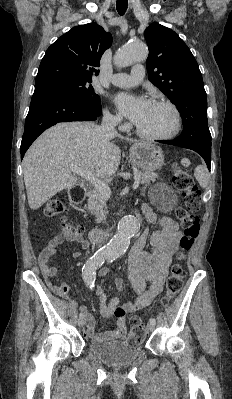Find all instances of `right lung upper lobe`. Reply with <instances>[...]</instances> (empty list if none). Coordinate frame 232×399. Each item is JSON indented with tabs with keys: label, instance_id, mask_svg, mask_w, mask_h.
I'll list each match as a JSON object with an SVG mask.
<instances>
[{
	"label": "right lung upper lobe",
	"instance_id": "1",
	"mask_svg": "<svg viewBox=\"0 0 232 399\" xmlns=\"http://www.w3.org/2000/svg\"><path fill=\"white\" fill-rule=\"evenodd\" d=\"M111 43V34L94 22L73 27L47 49L36 84L59 77L92 81V76L99 74L96 68Z\"/></svg>",
	"mask_w": 232,
	"mask_h": 399
}]
</instances>
